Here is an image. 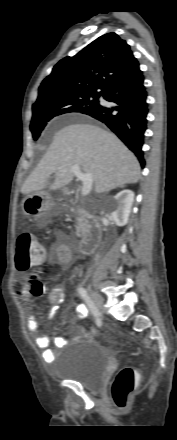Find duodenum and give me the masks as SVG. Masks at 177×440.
I'll return each mask as SVG.
<instances>
[{
  "label": "duodenum",
  "instance_id": "obj_1",
  "mask_svg": "<svg viewBox=\"0 0 177 440\" xmlns=\"http://www.w3.org/2000/svg\"><path fill=\"white\" fill-rule=\"evenodd\" d=\"M74 210L84 220L86 233L80 241L79 250L82 254L88 255L93 252L102 237V226L88 210L75 206Z\"/></svg>",
  "mask_w": 177,
  "mask_h": 440
}]
</instances>
